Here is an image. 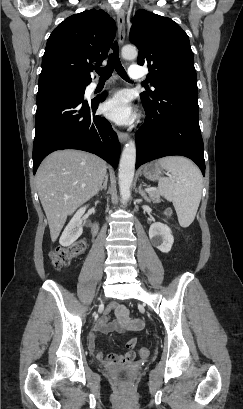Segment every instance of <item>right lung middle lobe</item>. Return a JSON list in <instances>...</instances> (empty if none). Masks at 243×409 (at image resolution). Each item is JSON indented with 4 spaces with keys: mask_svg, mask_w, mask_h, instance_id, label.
Returning <instances> with one entry per match:
<instances>
[{
    "mask_svg": "<svg viewBox=\"0 0 243 409\" xmlns=\"http://www.w3.org/2000/svg\"><path fill=\"white\" fill-rule=\"evenodd\" d=\"M37 99L54 94H83L85 86L72 79L55 76L39 79Z\"/></svg>",
    "mask_w": 243,
    "mask_h": 409,
    "instance_id": "1",
    "label": "right lung middle lobe"
}]
</instances>
